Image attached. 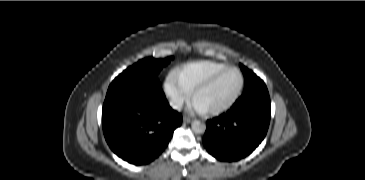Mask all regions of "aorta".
<instances>
[{
    "mask_svg": "<svg viewBox=\"0 0 365 180\" xmlns=\"http://www.w3.org/2000/svg\"><path fill=\"white\" fill-rule=\"evenodd\" d=\"M191 127L195 133H204L206 130V125L201 121H193Z\"/></svg>",
    "mask_w": 365,
    "mask_h": 180,
    "instance_id": "1",
    "label": "aorta"
}]
</instances>
